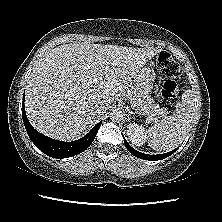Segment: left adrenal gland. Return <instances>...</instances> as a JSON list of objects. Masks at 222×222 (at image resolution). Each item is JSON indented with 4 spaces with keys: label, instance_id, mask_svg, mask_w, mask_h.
Segmentation results:
<instances>
[{
    "label": "left adrenal gland",
    "instance_id": "a2214340",
    "mask_svg": "<svg viewBox=\"0 0 222 222\" xmlns=\"http://www.w3.org/2000/svg\"><path fill=\"white\" fill-rule=\"evenodd\" d=\"M127 111H128V120L130 119L131 115H135L136 113L133 112L129 107H127Z\"/></svg>",
    "mask_w": 222,
    "mask_h": 222
}]
</instances>
